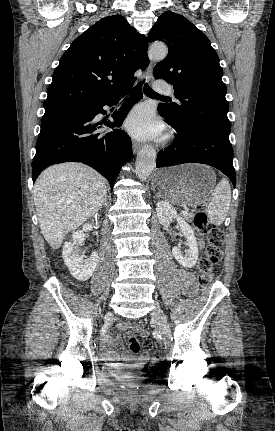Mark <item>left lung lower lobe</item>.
<instances>
[{
	"mask_svg": "<svg viewBox=\"0 0 275 431\" xmlns=\"http://www.w3.org/2000/svg\"><path fill=\"white\" fill-rule=\"evenodd\" d=\"M160 115L163 116L161 113ZM167 123L178 132V136L169 148L158 153L157 168L183 163H203L222 171L235 187L236 173L233 167V149L229 141L230 131L197 126L179 127L168 121Z\"/></svg>",
	"mask_w": 275,
	"mask_h": 431,
	"instance_id": "0a47b994",
	"label": "left lung lower lobe"
}]
</instances>
